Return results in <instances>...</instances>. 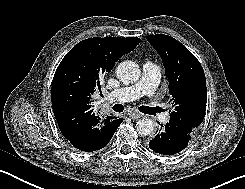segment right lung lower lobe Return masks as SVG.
Segmentation results:
<instances>
[{
    "mask_svg": "<svg viewBox=\"0 0 245 189\" xmlns=\"http://www.w3.org/2000/svg\"><path fill=\"white\" fill-rule=\"evenodd\" d=\"M123 119L96 115L92 128L82 134L71 136L68 141L78 150L93 152L104 148L114 135Z\"/></svg>",
    "mask_w": 245,
    "mask_h": 189,
    "instance_id": "98d812e1",
    "label": "right lung lower lobe"
}]
</instances>
